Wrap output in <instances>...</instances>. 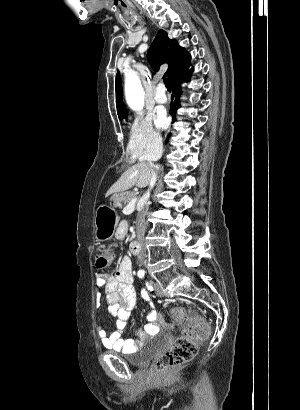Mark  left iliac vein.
<instances>
[{
  "label": "left iliac vein",
  "instance_id": "1",
  "mask_svg": "<svg viewBox=\"0 0 300 410\" xmlns=\"http://www.w3.org/2000/svg\"><path fill=\"white\" fill-rule=\"evenodd\" d=\"M153 285H154V288H155V293H156L158 296H160V297L164 296V293H163V291H162V289H161L160 284L157 283V282H154Z\"/></svg>",
  "mask_w": 300,
  "mask_h": 410
}]
</instances>
